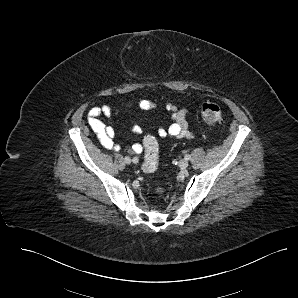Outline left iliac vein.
Listing matches in <instances>:
<instances>
[{
    "instance_id": "obj_1",
    "label": "left iliac vein",
    "mask_w": 298,
    "mask_h": 298,
    "mask_svg": "<svg viewBox=\"0 0 298 298\" xmlns=\"http://www.w3.org/2000/svg\"><path fill=\"white\" fill-rule=\"evenodd\" d=\"M189 166V162L186 159L180 160L179 167L181 169H186Z\"/></svg>"
}]
</instances>
